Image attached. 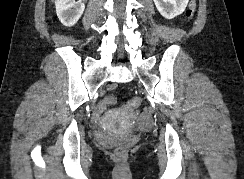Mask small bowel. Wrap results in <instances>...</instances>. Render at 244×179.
<instances>
[{
    "mask_svg": "<svg viewBox=\"0 0 244 179\" xmlns=\"http://www.w3.org/2000/svg\"><path fill=\"white\" fill-rule=\"evenodd\" d=\"M141 126H152L150 116H141Z\"/></svg>",
    "mask_w": 244,
    "mask_h": 179,
    "instance_id": "c3829d8e",
    "label": "small bowel"
}]
</instances>
